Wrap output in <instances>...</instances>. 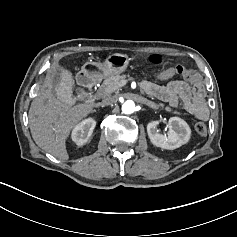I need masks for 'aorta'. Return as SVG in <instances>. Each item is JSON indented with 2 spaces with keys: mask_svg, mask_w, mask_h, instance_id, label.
<instances>
[{
  "mask_svg": "<svg viewBox=\"0 0 237 237\" xmlns=\"http://www.w3.org/2000/svg\"><path fill=\"white\" fill-rule=\"evenodd\" d=\"M122 112L124 114H132L135 112V104L131 100H127L122 104Z\"/></svg>",
  "mask_w": 237,
  "mask_h": 237,
  "instance_id": "762f6f07",
  "label": "aorta"
}]
</instances>
